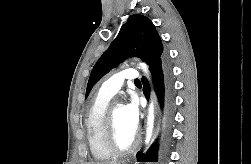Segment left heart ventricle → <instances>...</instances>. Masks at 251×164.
I'll use <instances>...</instances> for the list:
<instances>
[{
    "label": "left heart ventricle",
    "instance_id": "obj_1",
    "mask_svg": "<svg viewBox=\"0 0 251 164\" xmlns=\"http://www.w3.org/2000/svg\"><path fill=\"white\" fill-rule=\"evenodd\" d=\"M114 116L118 143L123 147H127L132 143L136 132L129 127L122 105H117L115 107Z\"/></svg>",
    "mask_w": 251,
    "mask_h": 164
}]
</instances>
